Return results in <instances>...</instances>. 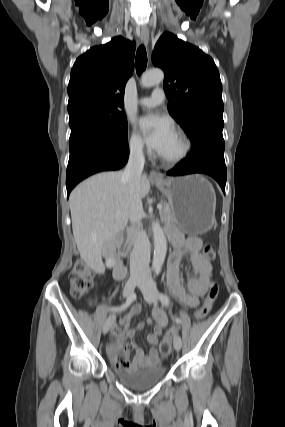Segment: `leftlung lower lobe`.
Returning a JSON list of instances; mask_svg holds the SVG:
<instances>
[{"instance_id": "1", "label": "left lung lower lobe", "mask_w": 285, "mask_h": 427, "mask_svg": "<svg viewBox=\"0 0 285 427\" xmlns=\"http://www.w3.org/2000/svg\"><path fill=\"white\" fill-rule=\"evenodd\" d=\"M204 173L212 176L225 193L226 165L224 160V139L218 136H204L193 143L190 156L181 160L167 175L179 176Z\"/></svg>"}]
</instances>
